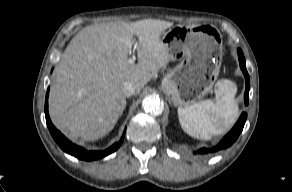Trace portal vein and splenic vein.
<instances>
[{"label":"portal vein and splenic vein","instance_id":"obj_1","mask_svg":"<svg viewBox=\"0 0 292 192\" xmlns=\"http://www.w3.org/2000/svg\"><path fill=\"white\" fill-rule=\"evenodd\" d=\"M134 61H135V58L134 57H131V58L128 59V62L130 64H134Z\"/></svg>","mask_w":292,"mask_h":192}]
</instances>
